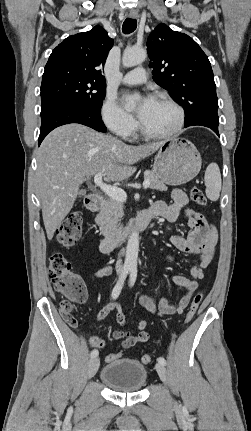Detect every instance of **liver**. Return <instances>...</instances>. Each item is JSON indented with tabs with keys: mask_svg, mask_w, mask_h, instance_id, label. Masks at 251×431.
Wrapping results in <instances>:
<instances>
[{
	"mask_svg": "<svg viewBox=\"0 0 251 431\" xmlns=\"http://www.w3.org/2000/svg\"><path fill=\"white\" fill-rule=\"evenodd\" d=\"M162 142L127 145L93 129L70 123L54 129L37 151L36 187L47 238L73 208L80 185L101 173L111 181L128 179L133 164L156 152Z\"/></svg>",
	"mask_w": 251,
	"mask_h": 431,
	"instance_id": "obj_1",
	"label": "liver"
}]
</instances>
